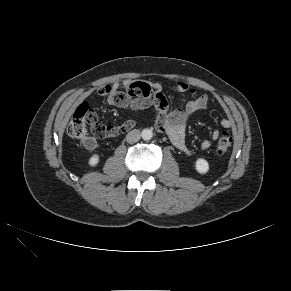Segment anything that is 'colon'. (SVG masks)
Listing matches in <instances>:
<instances>
[{
	"label": "colon",
	"instance_id": "colon-1",
	"mask_svg": "<svg viewBox=\"0 0 291 291\" xmlns=\"http://www.w3.org/2000/svg\"><path fill=\"white\" fill-rule=\"evenodd\" d=\"M133 121H126L119 126H104L97 122L95 112L90 109L87 103L80 104L69 123L68 134L70 137L80 140L85 146L91 147L95 138H109L120 135L133 127ZM92 136H91V135ZM232 144V137L229 132L220 133L215 151L217 155H224Z\"/></svg>",
	"mask_w": 291,
	"mask_h": 291
}]
</instances>
